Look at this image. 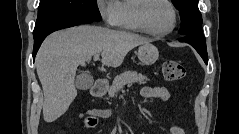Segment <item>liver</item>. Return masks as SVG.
I'll return each mask as SVG.
<instances>
[{
  "label": "liver",
  "mask_w": 239,
  "mask_h": 134,
  "mask_svg": "<svg viewBox=\"0 0 239 134\" xmlns=\"http://www.w3.org/2000/svg\"><path fill=\"white\" fill-rule=\"evenodd\" d=\"M143 36L125 31L81 25L55 32L41 45L35 60L44 93L43 117L53 122L62 116L77 96L76 70L95 54L102 64L118 67L133 48L149 43Z\"/></svg>",
  "instance_id": "6515ba94"
}]
</instances>
